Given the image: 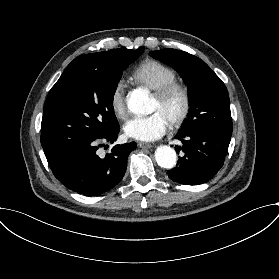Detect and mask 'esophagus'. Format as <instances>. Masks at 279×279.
Masks as SVG:
<instances>
[{
    "label": "esophagus",
    "instance_id": "esophagus-1",
    "mask_svg": "<svg viewBox=\"0 0 279 279\" xmlns=\"http://www.w3.org/2000/svg\"><path fill=\"white\" fill-rule=\"evenodd\" d=\"M137 146H138L139 148H144V149H149V148L152 147V145L149 144V143H147V142H138V143H137Z\"/></svg>",
    "mask_w": 279,
    "mask_h": 279
}]
</instances>
